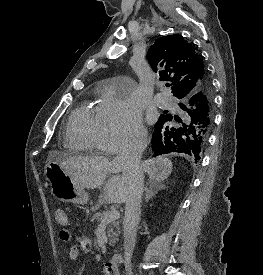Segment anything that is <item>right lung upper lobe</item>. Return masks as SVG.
<instances>
[{
    "label": "right lung upper lobe",
    "instance_id": "right-lung-upper-lobe-1",
    "mask_svg": "<svg viewBox=\"0 0 263 275\" xmlns=\"http://www.w3.org/2000/svg\"><path fill=\"white\" fill-rule=\"evenodd\" d=\"M147 60L160 80L172 81L177 98L199 90L208 80L203 62L195 48L178 34L159 37L149 48ZM209 126L213 120V98L208 102Z\"/></svg>",
    "mask_w": 263,
    "mask_h": 275
}]
</instances>
